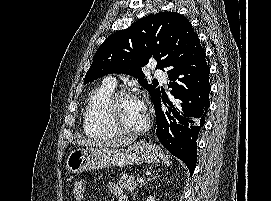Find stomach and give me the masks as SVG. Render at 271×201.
<instances>
[{
	"instance_id": "obj_1",
	"label": "stomach",
	"mask_w": 271,
	"mask_h": 201,
	"mask_svg": "<svg viewBox=\"0 0 271 201\" xmlns=\"http://www.w3.org/2000/svg\"><path fill=\"white\" fill-rule=\"evenodd\" d=\"M163 157V152L158 146L142 141L134 143L126 149L85 147L72 150L69 153L66 159V169L69 173L79 174L84 171L114 166L153 164Z\"/></svg>"
}]
</instances>
